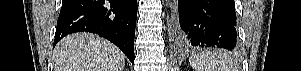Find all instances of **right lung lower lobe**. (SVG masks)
I'll return each mask as SVG.
<instances>
[{
    "mask_svg": "<svg viewBox=\"0 0 301 71\" xmlns=\"http://www.w3.org/2000/svg\"><path fill=\"white\" fill-rule=\"evenodd\" d=\"M137 0H63L54 45L74 32L98 34L133 63Z\"/></svg>",
    "mask_w": 301,
    "mask_h": 71,
    "instance_id": "98d812e1",
    "label": "right lung lower lobe"
}]
</instances>
